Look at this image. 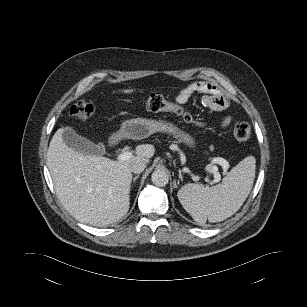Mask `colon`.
Segmentation results:
<instances>
[{
  "instance_id": "colon-1",
  "label": "colon",
  "mask_w": 307,
  "mask_h": 307,
  "mask_svg": "<svg viewBox=\"0 0 307 307\" xmlns=\"http://www.w3.org/2000/svg\"><path fill=\"white\" fill-rule=\"evenodd\" d=\"M146 109L152 112L168 111L181 116L186 122L203 127L204 124L195 120L180 104L170 102L158 94H150L143 101ZM73 118L85 121L94 114V105L85 100L76 102L70 110ZM233 135L238 141H247L251 135V129L246 122H239L233 128Z\"/></svg>"
}]
</instances>
